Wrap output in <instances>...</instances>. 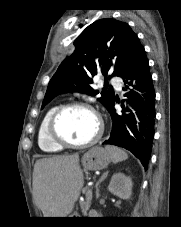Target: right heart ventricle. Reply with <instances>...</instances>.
Here are the masks:
<instances>
[{"label": "right heart ventricle", "mask_w": 181, "mask_h": 227, "mask_svg": "<svg viewBox=\"0 0 181 227\" xmlns=\"http://www.w3.org/2000/svg\"><path fill=\"white\" fill-rule=\"evenodd\" d=\"M56 108L57 107L54 106L47 110L41 120L38 130V146L42 151L47 153H57L62 150V147L54 143L48 135V123Z\"/></svg>", "instance_id": "1"}]
</instances>
